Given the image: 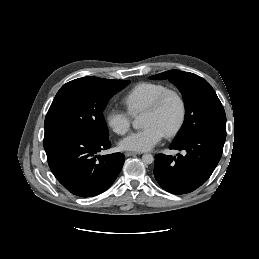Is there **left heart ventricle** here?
Instances as JSON below:
<instances>
[{
	"label": "left heart ventricle",
	"instance_id": "left-heart-ventricle-1",
	"mask_svg": "<svg viewBox=\"0 0 259 259\" xmlns=\"http://www.w3.org/2000/svg\"><path fill=\"white\" fill-rule=\"evenodd\" d=\"M178 104L174 98H169L160 112L156 114L145 113L143 126L155 125L163 133L171 129L178 118Z\"/></svg>",
	"mask_w": 259,
	"mask_h": 259
}]
</instances>
